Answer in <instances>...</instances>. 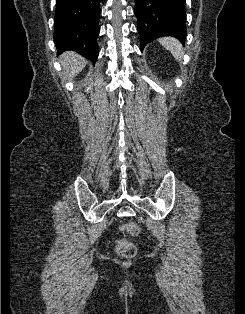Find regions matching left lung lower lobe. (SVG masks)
Listing matches in <instances>:
<instances>
[{
    "label": "left lung lower lobe",
    "mask_w": 245,
    "mask_h": 314,
    "mask_svg": "<svg viewBox=\"0 0 245 314\" xmlns=\"http://www.w3.org/2000/svg\"><path fill=\"white\" fill-rule=\"evenodd\" d=\"M138 19L141 50L152 40L173 36L184 41L186 37L185 0H134Z\"/></svg>",
    "instance_id": "obj_1"
}]
</instances>
